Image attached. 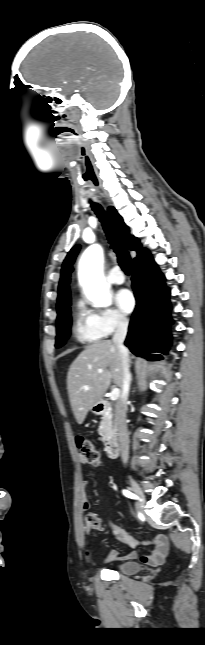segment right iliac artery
<instances>
[{
  "label": "right iliac artery",
  "mask_w": 205,
  "mask_h": 645,
  "mask_svg": "<svg viewBox=\"0 0 205 645\" xmlns=\"http://www.w3.org/2000/svg\"><path fill=\"white\" fill-rule=\"evenodd\" d=\"M123 494L128 498L138 499V497L135 494H133L132 492H130L128 490H123Z\"/></svg>",
  "instance_id": "obj_1"
}]
</instances>
